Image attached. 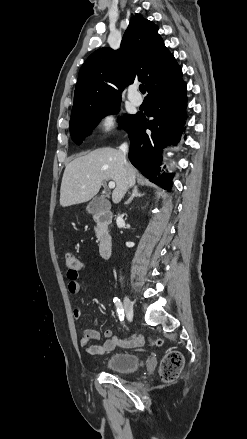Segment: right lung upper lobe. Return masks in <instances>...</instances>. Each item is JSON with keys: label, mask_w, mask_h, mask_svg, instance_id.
<instances>
[{"label": "right lung upper lobe", "mask_w": 247, "mask_h": 439, "mask_svg": "<svg viewBox=\"0 0 247 439\" xmlns=\"http://www.w3.org/2000/svg\"><path fill=\"white\" fill-rule=\"evenodd\" d=\"M182 75L158 34V27L136 16L130 21L119 50L98 49L82 65L71 117L120 101L121 91L135 80L145 83L150 97L182 82Z\"/></svg>", "instance_id": "obj_1"}]
</instances>
